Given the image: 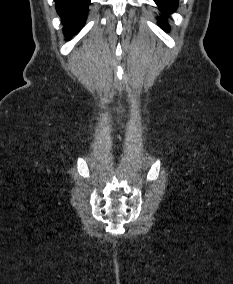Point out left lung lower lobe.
Here are the masks:
<instances>
[{
    "instance_id": "0a47b994",
    "label": "left lung lower lobe",
    "mask_w": 233,
    "mask_h": 284,
    "mask_svg": "<svg viewBox=\"0 0 233 284\" xmlns=\"http://www.w3.org/2000/svg\"><path fill=\"white\" fill-rule=\"evenodd\" d=\"M159 6L163 15L175 12L178 7V0H154ZM158 23L165 29H168L167 19L165 17L158 18Z\"/></svg>"
}]
</instances>
